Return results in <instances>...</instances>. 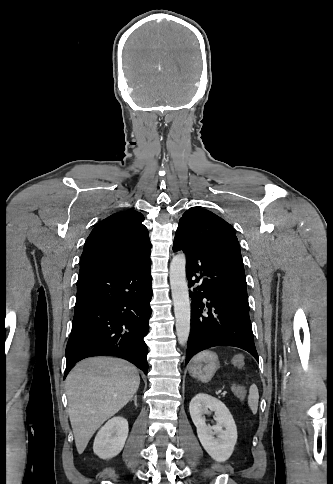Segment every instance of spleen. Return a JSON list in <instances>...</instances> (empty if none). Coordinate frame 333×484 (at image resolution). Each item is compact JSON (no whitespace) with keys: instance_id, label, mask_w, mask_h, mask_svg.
<instances>
[{"instance_id":"obj_1","label":"spleen","mask_w":333,"mask_h":484,"mask_svg":"<svg viewBox=\"0 0 333 484\" xmlns=\"http://www.w3.org/2000/svg\"><path fill=\"white\" fill-rule=\"evenodd\" d=\"M233 391H236L235 387H233ZM258 401H259L258 388L255 384H252L249 388L248 406L251 409L253 414L257 412Z\"/></svg>"}]
</instances>
